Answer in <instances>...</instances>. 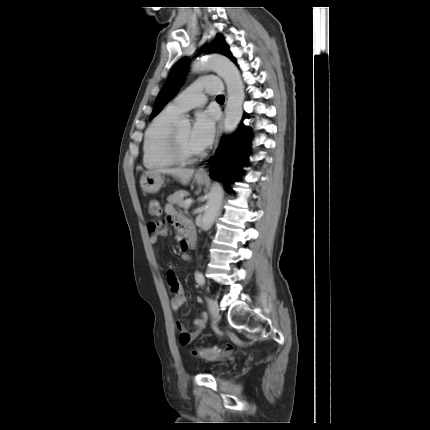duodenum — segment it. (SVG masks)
Masks as SVG:
<instances>
[{"label": "duodenum", "instance_id": "duodenum-1", "mask_svg": "<svg viewBox=\"0 0 430 430\" xmlns=\"http://www.w3.org/2000/svg\"><path fill=\"white\" fill-rule=\"evenodd\" d=\"M183 243H184V247L186 249L192 248L193 245H194V236H193V234L192 233L187 234L185 236V239H184Z\"/></svg>", "mask_w": 430, "mask_h": 430}]
</instances>
